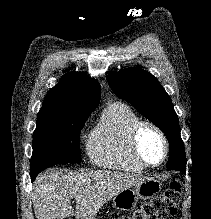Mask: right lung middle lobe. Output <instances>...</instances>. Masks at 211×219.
I'll return each instance as SVG.
<instances>
[{
    "label": "right lung middle lobe",
    "instance_id": "1",
    "mask_svg": "<svg viewBox=\"0 0 211 219\" xmlns=\"http://www.w3.org/2000/svg\"><path fill=\"white\" fill-rule=\"evenodd\" d=\"M88 115H52L40 110L37 115V127L33 133L30 165L32 181L47 167L82 160L79 137Z\"/></svg>",
    "mask_w": 211,
    "mask_h": 219
}]
</instances>
